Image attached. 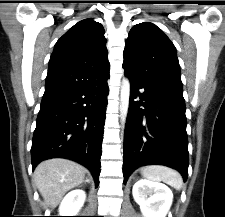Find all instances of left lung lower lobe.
<instances>
[{
  "label": "left lung lower lobe",
  "mask_w": 225,
  "mask_h": 217,
  "mask_svg": "<svg viewBox=\"0 0 225 217\" xmlns=\"http://www.w3.org/2000/svg\"><path fill=\"white\" fill-rule=\"evenodd\" d=\"M128 78L131 94L124 135V183L136 168L149 164L172 167L186 181L189 158L183 92ZM139 89L144 91L139 93Z\"/></svg>",
  "instance_id": "left-lung-lower-lobe-1"
}]
</instances>
